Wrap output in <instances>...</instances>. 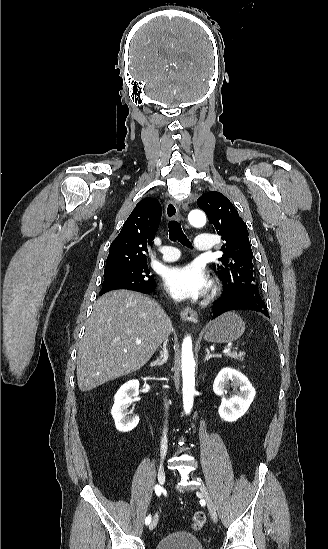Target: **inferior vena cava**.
<instances>
[{"instance_id":"602c4592","label":"inferior vena cava","mask_w":328,"mask_h":549,"mask_svg":"<svg viewBox=\"0 0 328 549\" xmlns=\"http://www.w3.org/2000/svg\"><path fill=\"white\" fill-rule=\"evenodd\" d=\"M161 449L166 453L167 451V429H164V435L161 443Z\"/></svg>"}]
</instances>
